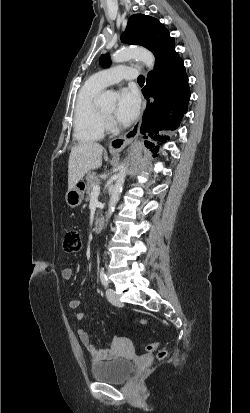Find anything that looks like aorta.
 Here are the masks:
<instances>
[{"mask_svg":"<svg viewBox=\"0 0 250 413\" xmlns=\"http://www.w3.org/2000/svg\"><path fill=\"white\" fill-rule=\"evenodd\" d=\"M112 61L115 63H122L130 59H135L143 62L146 67L149 69L154 68L155 64V57L154 55L147 49L142 47H135V48H125L117 51L112 55ZM116 101V94L112 91H105L101 98L100 103L103 106H112ZM127 165L126 162L121 165V169L117 174L116 183L113 187L112 194L109 200V208L107 213V219L111 217L112 213L114 212L115 206L119 201L120 194L122 192L124 180L126 177Z\"/></svg>","mask_w":250,"mask_h":413,"instance_id":"obj_1","label":"aorta"}]
</instances>
